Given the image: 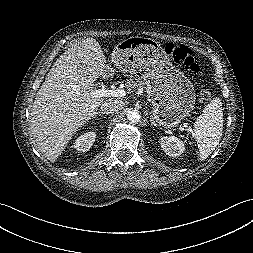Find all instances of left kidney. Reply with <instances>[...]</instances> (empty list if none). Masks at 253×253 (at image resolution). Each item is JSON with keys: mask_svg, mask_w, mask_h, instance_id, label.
<instances>
[{"mask_svg": "<svg viewBox=\"0 0 253 253\" xmlns=\"http://www.w3.org/2000/svg\"><path fill=\"white\" fill-rule=\"evenodd\" d=\"M160 144L164 152L172 157L180 156L185 150L184 143L175 136H165L160 139Z\"/></svg>", "mask_w": 253, "mask_h": 253, "instance_id": "left-kidney-1", "label": "left kidney"}]
</instances>
